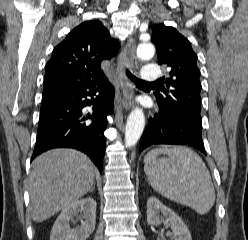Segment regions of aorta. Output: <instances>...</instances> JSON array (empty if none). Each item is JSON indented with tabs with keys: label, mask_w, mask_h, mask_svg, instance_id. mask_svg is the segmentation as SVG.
<instances>
[{
	"label": "aorta",
	"mask_w": 248,
	"mask_h": 240,
	"mask_svg": "<svg viewBox=\"0 0 248 240\" xmlns=\"http://www.w3.org/2000/svg\"><path fill=\"white\" fill-rule=\"evenodd\" d=\"M155 54L154 46L149 42H144L137 47V57L141 60H149ZM145 126V116L141 108L136 107L128 116L125 127V145L134 146L140 139Z\"/></svg>",
	"instance_id": "aorta-1"
}]
</instances>
